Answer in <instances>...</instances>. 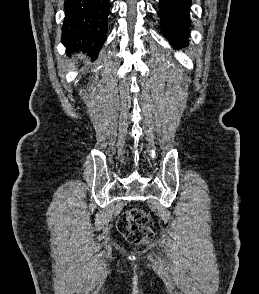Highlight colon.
<instances>
[{"instance_id": "1", "label": "colon", "mask_w": 259, "mask_h": 294, "mask_svg": "<svg viewBox=\"0 0 259 294\" xmlns=\"http://www.w3.org/2000/svg\"><path fill=\"white\" fill-rule=\"evenodd\" d=\"M147 223L148 215L142 209L134 208L119 218L117 228L128 242L143 245L153 238V231Z\"/></svg>"}]
</instances>
